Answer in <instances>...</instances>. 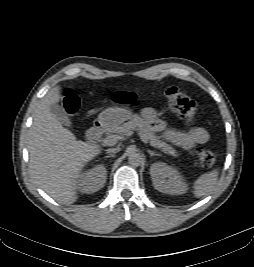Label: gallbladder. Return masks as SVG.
Returning a JSON list of instances; mask_svg holds the SVG:
<instances>
[{
    "label": "gallbladder",
    "mask_w": 254,
    "mask_h": 267,
    "mask_svg": "<svg viewBox=\"0 0 254 267\" xmlns=\"http://www.w3.org/2000/svg\"><path fill=\"white\" fill-rule=\"evenodd\" d=\"M50 111L64 126H67V127L71 126V121L67 113L60 105L58 104L51 105Z\"/></svg>",
    "instance_id": "1"
}]
</instances>
